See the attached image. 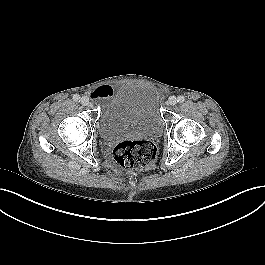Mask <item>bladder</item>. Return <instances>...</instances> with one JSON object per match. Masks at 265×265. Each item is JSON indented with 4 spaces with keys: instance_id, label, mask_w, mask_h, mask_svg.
I'll return each instance as SVG.
<instances>
[{
    "instance_id": "1",
    "label": "bladder",
    "mask_w": 265,
    "mask_h": 265,
    "mask_svg": "<svg viewBox=\"0 0 265 265\" xmlns=\"http://www.w3.org/2000/svg\"><path fill=\"white\" fill-rule=\"evenodd\" d=\"M163 128L156 88L147 83H128L105 100L97 130L103 140H112L125 135L156 137Z\"/></svg>"
}]
</instances>
